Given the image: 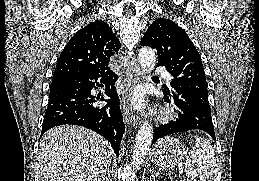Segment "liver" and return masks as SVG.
<instances>
[{
  "instance_id": "obj_1",
  "label": "liver",
  "mask_w": 259,
  "mask_h": 181,
  "mask_svg": "<svg viewBox=\"0 0 259 181\" xmlns=\"http://www.w3.org/2000/svg\"><path fill=\"white\" fill-rule=\"evenodd\" d=\"M113 151L96 132L62 125L48 130L39 144L40 181H102Z\"/></svg>"
}]
</instances>
